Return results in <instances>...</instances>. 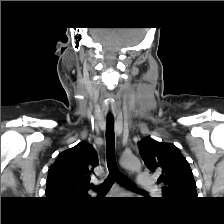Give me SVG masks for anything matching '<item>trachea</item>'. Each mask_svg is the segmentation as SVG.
<instances>
[{
  "label": "trachea",
  "mask_w": 224,
  "mask_h": 224,
  "mask_svg": "<svg viewBox=\"0 0 224 224\" xmlns=\"http://www.w3.org/2000/svg\"><path fill=\"white\" fill-rule=\"evenodd\" d=\"M106 142H107V166L109 170L108 178L99 186H93L92 189L97 191L98 194L107 193L112 187L113 183L117 181L119 184L125 186L130 190H138L129 179L120 172L117 167L115 159V134H114V119L107 118L106 124Z\"/></svg>",
  "instance_id": "trachea-1"
}]
</instances>
